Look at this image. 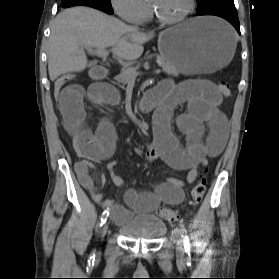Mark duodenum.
I'll return each mask as SVG.
<instances>
[{
  "instance_id": "410a0bca",
  "label": "duodenum",
  "mask_w": 279,
  "mask_h": 279,
  "mask_svg": "<svg viewBox=\"0 0 279 279\" xmlns=\"http://www.w3.org/2000/svg\"><path fill=\"white\" fill-rule=\"evenodd\" d=\"M108 74H109L108 69L102 66H96L90 71V76L93 79H97V80L104 79L105 77L108 76ZM155 104H159V101L146 94L145 96L139 99L138 108L143 112H148L155 108Z\"/></svg>"
}]
</instances>
